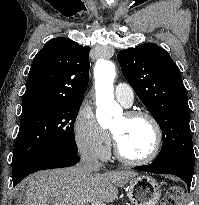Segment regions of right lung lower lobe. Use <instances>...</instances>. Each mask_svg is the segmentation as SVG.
<instances>
[{"label":"right lung lower lobe","instance_id":"right-lung-lower-lobe-1","mask_svg":"<svg viewBox=\"0 0 199 205\" xmlns=\"http://www.w3.org/2000/svg\"><path fill=\"white\" fill-rule=\"evenodd\" d=\"M80 157L63 150H47L12 164L13 186L21 182L27 175L52 168L69 167L77 164Z\"/></svg>","mask_w":199,"mask_h":205}]
</instances>
